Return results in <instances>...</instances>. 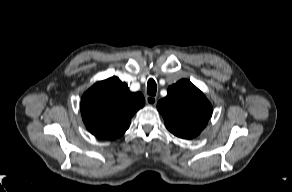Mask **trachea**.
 <instances>
[{
    "mask_svg": "<svg viewBox=\"0 0 292 192\" xmlns=\"http://www.w3.org/2000/svg\"><path fill=\"white\" fill-rule=\"evenodd\" d=\"M157 91L156 82L153 79H149L147 82V93L150 96H155Z\"/></svg>",
    "mask_w": 292,
    "mask_h": 192,
    "instance_id": "trachea-1",
    "label": "trachea"
}]
</instances>
